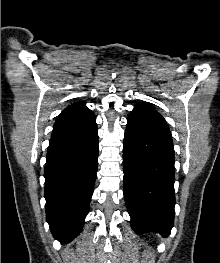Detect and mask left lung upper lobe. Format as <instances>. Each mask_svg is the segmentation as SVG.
<instances>
[{
    "label": "left lung upper lobe",
    "mask_w": 220,
    "mask_h": 263,
    "mask_svg": "<svg viewBox=\"0 0 220 263\" xmlns=\"http://www.w3.org/2000/svg\"><path fill=\"white\" fill-rule=\"evenodd\" d=\"M129 117L139 120L143 123L149 124L154 128L160 129L164 132L170 133L169 127L165 119L150 105L138 104L134 107Z\"/></svg>",
    "instance_id": "obj_1"
}]
</instances>
